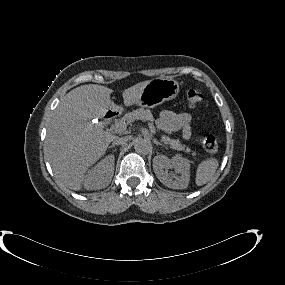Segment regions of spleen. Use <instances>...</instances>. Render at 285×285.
Here are the masks:
<instances>
[{
    "label": "spleen",
    "instance_id": "spleen-1",
    "mask_svg": "<svg viewBox=\"0 0 285 285\" xmlns=\"http://www.w3.org/2000/svg\"><path fill=\"white\" fill-rule=\"evenodd\" d=\"M219 166V162L216 158L211 157L202 161L197 168L196 172V184L202 186L214 177L216 170Z\"/></svg>",
    "mask_w": 285,
    "mask_h": 285
}]
</instances>
